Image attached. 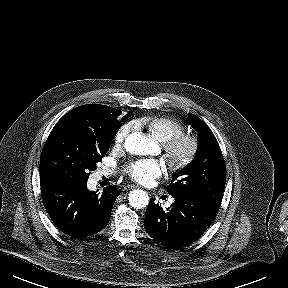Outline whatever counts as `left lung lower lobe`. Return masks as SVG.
<instances>
[{
    "label": "left lung lower lobe",
    "mask_w": 288,
    "mask_h": 288,
    "mask_svg": "<svg viewBox=\"0 0 288 288\" xmlns=\"http://www.w3.org/2000/svg\"><path fill=\"white\" fill-rule=\"evenodd\" d=\"M174 198V203L166 209L150 199L144 228L162 246L180 249L196 241L209 228L219 207L195 198Z\"/></svg>",
    "instance_id": "1"
}]
</instances>
